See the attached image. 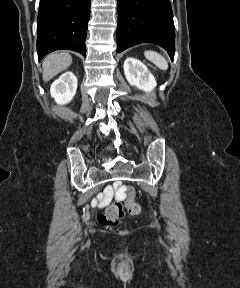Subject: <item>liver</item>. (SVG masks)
<instances>
[{
    "label": "liver",
    "mask_w": 240,
    "mask_h": 288,
    "mask_svg": "<svg viewBox=\"0 0 240 288\" xmlns=\"http://www.w3.org/2000/svg\"><path fill=\"white\" fill-rule=\"evenodd\" d=\"M71 64L72 57L67 52H55L47 55L42 63L44 82L49 81L58 73L66 70Z\"/></svg>",
    "instance_id": "liver-1"
}]
</instances>
